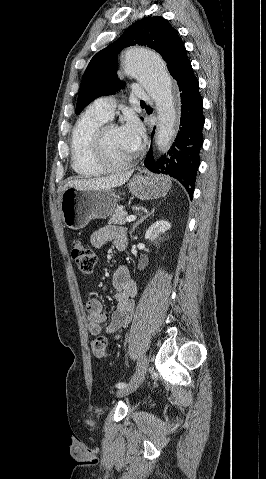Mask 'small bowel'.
Listing matches in <instances>:
<instances>
[{
    "label": "small bowel",
    "mask_w": 266,
    "mask_h": 479,
    "mask_svg": "<svg viewBox=\"0 0 266 479\" xmlns=\"http://www.w3.org/2000/svg\"><path fill=\"white\" fill-rule=\"evenodd\" d=\"M90 242L96 248H101L108 242H112L115 249L124 250L128 244V239L124 227L111 225L93 231ZM112 286L116 308L110 316L109 324L105 328L103 327L107 317L101 301L90 299L86 304L88 328L94 336L105 333L114 339H119L123 330L133 318L138 288L136 281L130 277L127 266H120L115 271Z\"/></svg>",
    "instance_id": "1"
}]
</instances>
